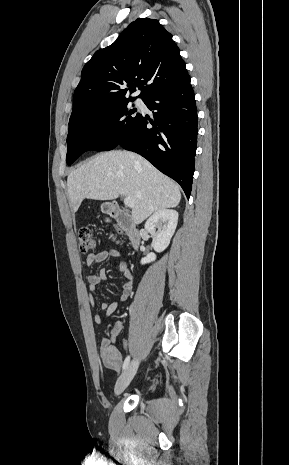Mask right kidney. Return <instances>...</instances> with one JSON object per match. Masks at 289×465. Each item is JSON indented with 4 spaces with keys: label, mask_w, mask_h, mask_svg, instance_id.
<instances>
[{
    "label": "right kidney",
    "mask_w": 289,
    "mask_h": 465,
    "mask_svg": "<svg viewBox=\"0 0 289 465\" xmlns=\"http://www.w3.org/2000/svg\"><path fill=\"white\" fill-rule=\"evenodd\" d=\"M178 222V212L170 209L156 211L145 223V229L155 235L153 248L156 252L164 251L174 235ZM156 228L158 232H155ZM156 255L149 253L141 259V264H147L155 261Z\"/></svg>",
    "instance_id": "right-kidney-1"
}]
</instances>
